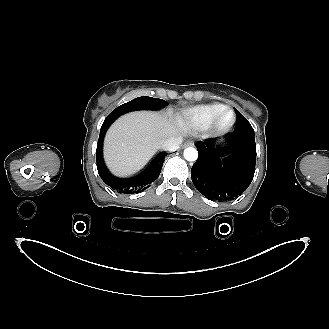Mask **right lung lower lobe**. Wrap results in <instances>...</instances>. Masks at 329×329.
Returning <instances> with one entry per match:
<instances>
[{
	"label": "right lung lower lobe",
	"instance_id": "right-lung-lower-lobe-1",
	"mask_svg": "<svg viewBox=\"0 0 329 329\" xmlns=\"http://www.w3.org/2000/svg\"><path fill=\"white\" fill-rule=\"evenodd\" d=\"M115 119L106 118L97 143L96 160L97 169L101 179L118 193L130 194L146 189L160 175L162 165L167 155L165 152L159 153L152 162L138 175L130 179H120L110 174L102 159V144L106 130Z\"/></svg>",
	"mask_w": 329,
	"mask_h": 329
}]
</instances>
